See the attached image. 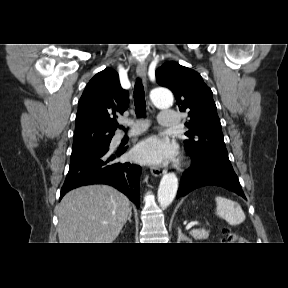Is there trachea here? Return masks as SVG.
<instances>
[{
    "instance_id": "trachea-1",
    "label": "trachea",
    "mask_w": 288,
    "mask_h": 288,
    "mask_svg": "<svg viewBox=\"0 0 288 288\" xmlns=\"http://www.w3.org/2000/svg\"><path fill=\"white\" fill-rule=\"evenodd\" d=\"M134 104H135V113L137 118L146 116V101L145 93L142 85L141 79H137L135 88H134ZM118 126V124H116ZM124 129V127L120 126Z\"/></svg>"
}]
</instances>
